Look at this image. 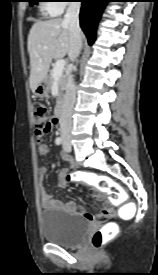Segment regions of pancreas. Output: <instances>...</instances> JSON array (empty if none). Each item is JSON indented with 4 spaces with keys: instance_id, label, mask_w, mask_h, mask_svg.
<instances>
[{
    "instance_id": "obj_1",
    "label": "pancreas",
    "mask_w": 158,
    "mask_h": 275,
    "mask_svg": "<svg viewBox=\"0 0 158 275\" xmlns=\"http://www.w3.org/2000/svg\"><path fill=\"white\" fill-rule=\"evenodd\" d=\"M47 79H48L49 90H51L52 85L55 81V79L53 77V69L50 70V73H49V76L47 77ZM66 82H67V77H66V75L62 74L58 79V88H59V95L57 97L58 101L63 98V93L66 88Z\"/></svg>"
}]
</instances>
